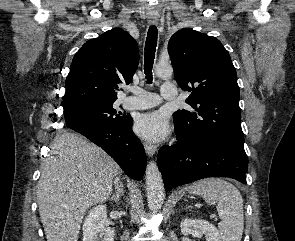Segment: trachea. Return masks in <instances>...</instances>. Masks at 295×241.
<instances>
[{
    "label": "trachea",
    "instance_id": "trachea-1",
    "mask_svg": "<svg viewBox=\"0 0 295 241\" xmlns=\"http://www.w3.org/2000/svg\"><path fill=\"white\" fill-rule=\"evenodd\" d=\"M157 46V28L151 26L148 30L146 43H145V56H144V72L146 75L147 83H152V68L155 58V51Z\"/></svg>",
    "mask_w": 295,
    "mask_h": 241
}]
</instances>
